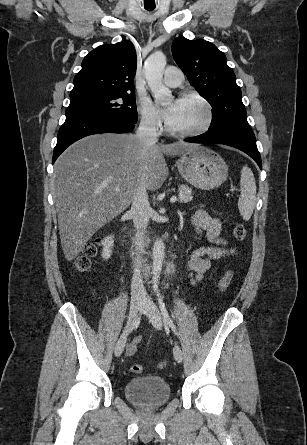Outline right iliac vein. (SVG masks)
Returning <instances> with one entry per match:
<instances>
[{
    "label": "right iliac vein",
    "instance_id": "obj_1",
    "mask_svg": "<svg viewBox=\"0 0 307 445\" xmlns=\"http://www.w3.org/2000/svg\"><path fill=\"white\" fill-rule=\"evenodd\" d=\"M141 305H142L141 299H139V298L132 299L131 304H130L129 320H128V323L126 326V330L123 332V334L121 335V337L119 338V340L117 341L116 346H115L114 353H115L116 357H119L124 350L126 339H127V334H128L127 330L130 328L132 321L136 317Z\"/></svg>",
    "mask_w": 307,
    "mask_h": 445
}]
</instances>
